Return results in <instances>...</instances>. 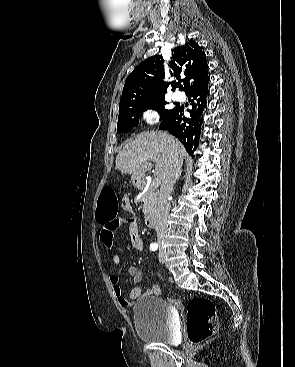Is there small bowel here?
I'll return each instance as SVG.
<instances>
[{"mask_svg":"<svg viewBox=\"0 0 295 367\" xmlns=\"http://www.w3.org/2000/svg\"><path fill=\"white\" fill-rule=\"evenodd\" d=\"M122 208L128 212L132 211V206L128 197H124L122 200ZM126 222L128 224V234L131 244L135 250L141 251L144 248L143 237L140 233L137 220L135 217L129 219L116 218L114 221L107 223H100L101 229L99 238L103 245L112 253V261L116 267L121 265V258L117 254L115 249V232L118 227ZM127 273L131 277L135 286L130 291L128 297H125L122 293V288L120 286V278L117 274H112L109 278L110 283L113 288V292L117 297L119 304L123 308H128L134 305L135 301L140 297L145 296H158L161 294V288L159 285H153L144 294H142V287L140 285L143 272L141 269L135 266H128Z\"/></svg>","mask_w":295,"mask_h":367,"instance_id":"c3829d8e","label":"small bowel"}]
</instances>
